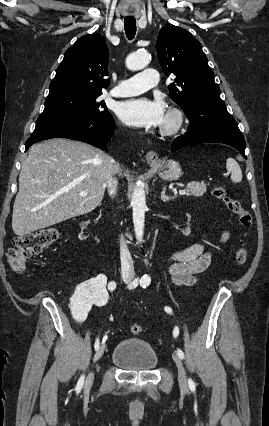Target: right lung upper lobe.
I'll return each instance as SVG.
<instances>
[{"label":"right lung upper lobe","instance_id":"1","mask_svg":"<svg viewBox=\"0 0 269 426\" xmlns=\"http://www.w3.org/2000/svg\"><path fill=\"white\" fill-rule=\"evenodd\" d=\"M109 51L100 34L80 37L67 49L50 84V92L81 90L102 92L110 84L108 75ZM49 92V93H50Z\"/></svg>","mask_w":269,"mask_h":426}]
</instances>
